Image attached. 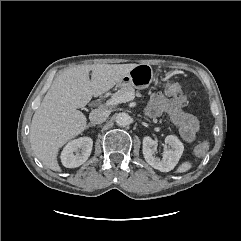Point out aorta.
Here are the masks:
<instances>
[{
	"label": "aorta",
	"mask_w": 241,
	"mask_h": 241,
	"mask_svg": "<svg viewBox=\"0 0 241 241\" xmlns=\"http://www.w3.org/2000/svg\"><path fill=\"white\" fill-rule=\"evenodd\" d=\"M115 122L118 126H127L131 122V118L127 113H118L115 117Z\"/></svg>",
	"instance_id": "762f6f07"
}]
</instances>
